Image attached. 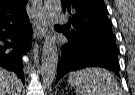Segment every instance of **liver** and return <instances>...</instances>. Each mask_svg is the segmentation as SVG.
<instances>
[{"instance_id":"6515ba94","label":"liver","mask_w":135,"mask_h":95,"mask_svg":"<svg viewBox=\"0 0 135 95\" xmlns=\"http://www.w3.org/2000/svg\"><path fill=\"white\" fill-rule=\"evenodd\" d=\"M22 83L13 73L0 67V95H20Z\"/></svg>"}]
</instances>
